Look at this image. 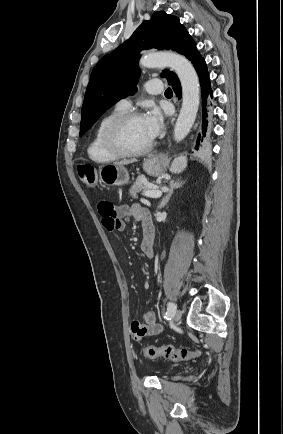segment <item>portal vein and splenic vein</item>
<instances>
[{"instance_id":"obj_1","label":"portal vein and splenic vein","mask_w":283,"mask_h":434,"mask_svg":"<svg viewBox=\"0 0 283 434\" xmlns=\"http://www.w3.org/2000/svg\"><path fill=\"white\" fill-rule=\"evenodd\" d=\"M143 195L150 198H159L162 195V191L157 189H151L144 192Z\"/></svg>"}]
</instances>
